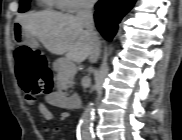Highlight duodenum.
Here are the masks:
<instances>
[{"label":"duodenum","instance_id":"duodenum-1","mask_svg":"<svg viewBox=\"0 0 182 140\" xmlns=\"http://www.w3.org/2000/svg\"><path fill=\"white\" fill-rule=\"evenodd\" d=\"M67 107L78 109L81 106V99L79 97H72L65 102Z\"/></svg>","mask_w":182,"mask_h":140}]
</instances>
